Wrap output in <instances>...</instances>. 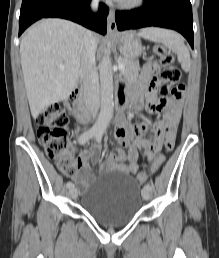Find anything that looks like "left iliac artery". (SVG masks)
I'll use <instances>...</instances> for the list:
<instances>
[{"label": "left iliac artery", "instance_id": "44dca946", "mask_svg": "<svg viewBox=\"0 0 219 258\" xmlns=\"http://www.w3.org/2000/svg\"><path fill=\"white\" fill-rule=\"evenodd\" d=\"M102 136H103V130L100 129V130H98L97 133L95 134V139H96L98 142H100L101 139H102ZM144 189L151 190L152 187H151L150 184H146V185L144 186Z\"/></svg>", "mask_w": 219, "mask_h": 258}]
</instances>
